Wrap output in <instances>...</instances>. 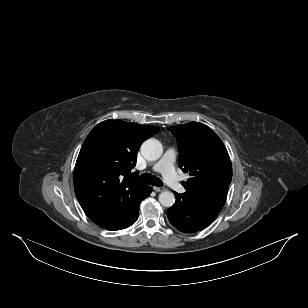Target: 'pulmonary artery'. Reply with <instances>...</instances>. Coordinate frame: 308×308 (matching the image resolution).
Returning a JSON list of instances; mask_svg holds the SVG:
<instances>
[{
  "label": "pulmonary artery",
  "mask_w": 308,
  "mask_h": 308,
  "mask_svg": "<svg viewBox=\"0 0 308 308\" xmlns=\"http://www.w3.org/2000/svg\"><path fill=\"white\" fill-rule=\"evenodd\" d=\"M174 160H175V151L173 149H168L164 153L160 161L154 165L153 170L156 172H160L163 175L166 183L173 190L179 193H184L185 188L181 184L180 179L176 174L173 166Z\"/></svg>",
  "instance_id": "e3ab8cb5"
}]
</instances>
